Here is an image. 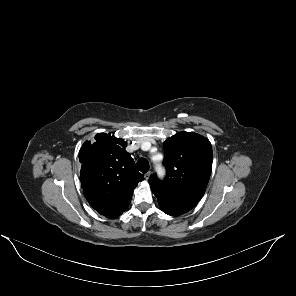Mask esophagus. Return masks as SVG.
Returning <instances> with one entry per match:
<instances>
[{"label": "esophagus", "instance_id": "esophagus-1", "mask_svg": "<svg viewBox=\"0 0 296 296\" xmlns=\"http://www.w3.org/2000/svg\"><path fill=\"white\" fill-rule=\"evenodd\" d=\"M150 176H151V172H147L144 175V177H145L146 180H148L150 178Z\"/></svg>", "mask_w": 296, "mask_h": 296}]
</instances>
